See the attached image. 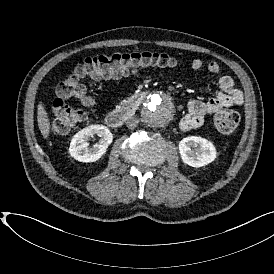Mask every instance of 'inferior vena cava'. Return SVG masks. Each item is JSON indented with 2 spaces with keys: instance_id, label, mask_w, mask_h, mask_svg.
<instances>
[{
  "instance_id": "602c4592",
  "label": "inferior vena cava",
  "mask_w": 274,
  "mask_h": 274,
  "mask_svg": "<svg viewBox=\"0 0 274 274\" xmlns=\"http://www.w3.org/2000/svg\"><path fill=\"white\" fill-rule=\"evenodd\" d=\"M139 124V119L131 117L126 121V126L128 129H135Z\"/></svg>"
}]
</instances>
